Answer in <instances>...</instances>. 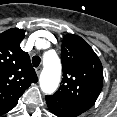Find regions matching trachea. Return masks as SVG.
Returning a JSON list of instances; mask_svg holds the SVG:
<instances>
[{
	"label": "trachea",
	"mask_w": 117,
	"mask_h": 117,
	"mask_svg": "<svg viewBox=\"0 0 117 117\" xmlns=\"http://www.w3.org/2000/svg\"><path fill=\"white\" fill-rule=\"evenodd\" d=\"M41 59L39 56H34L32 58V64L34 67H38L40 65Z\"/></svg>",
	"instance_id": "1"
}]
</instances>
